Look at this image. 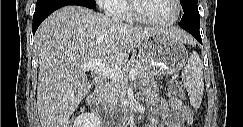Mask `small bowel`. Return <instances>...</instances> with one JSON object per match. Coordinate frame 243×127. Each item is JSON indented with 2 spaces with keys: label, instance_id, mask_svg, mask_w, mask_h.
Masks as SVG:
<instances>
[{
  "label": "small bowel",
  "instance_id": "1",
  "mask_svg": "<svg viewBox=\"0 0 243 127\" xmlns=\"http://www.w3.org/2000/svg\"><path fill=\"white\" fill-rule=\"evenodd\" d=\"M147 104L154 110L148 127H190L193 112L182 100L171 98L168 102L157 98L149 89L146 90Z\"/></svg>",
  "mask_w": 243,
  "mask_h": 127
}]
</instances>
